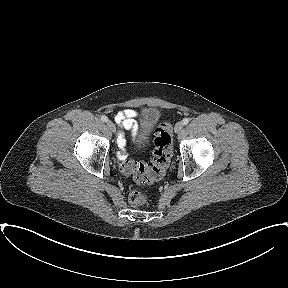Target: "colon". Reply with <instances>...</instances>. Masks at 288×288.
I'll return each mask as SVG.
<instances>
[{
    "label": "colon",
    "instance_id": "1",
    "mask_svg": "<svg viewBox=\"0 0 288 288\" xmlns=\"http://www.w3.org/2000/svg\"><path fill=\"white\" fill-rule=\"evenodd\" d=\"M154 143L155 151L149 163L125 158L121 163L122 173L132 176L139 184H149L160 180L172 156L171 126L168 122L161 123L156 129ZM128 201L133 206H139L145 202V197L138 191H131Z\"/></svg>",
    "mask_w": 288,
    "mask_h": 288
}]
</instances>
